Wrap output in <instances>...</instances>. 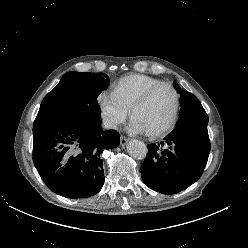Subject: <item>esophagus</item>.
<instances>
[{"instance_id": "34e87169", "label": "esophagus", "mask_w": 248, "mask_h": 248, "mask_svg": "<svg viewBox=\"0 0 248 248\" xmlns=\"http://www.w3.org/2000/svg\"><path fill=\"white\" fill-rule=\"evenodd\" d=\"M129 142V139L125 136L120 137V145L125 146Z\"/></svg>"}]
</instances>
